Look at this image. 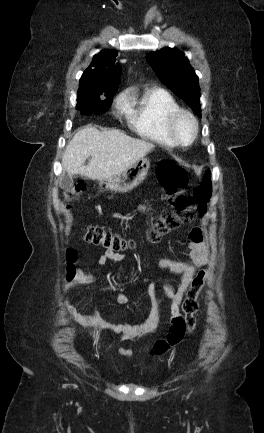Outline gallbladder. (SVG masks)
Masks as SVG:
<instances>
[{
    "label": "gallbladder",
    "instance_id": "1",
    "mask_svg": "<svg viewBox=\"0 0 264 433\" xmlns=\"http://www.w3.org/2000/svg\"><path fill=\"white\" fill-rule=\"evenodd\" d=\"M59 186L63 190H69L73 186V178L66 172H63L59 180Z\"/></svg>",
    "mask_w": 264,
    "mask_h": 433
}]
</instances>
